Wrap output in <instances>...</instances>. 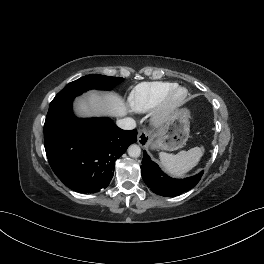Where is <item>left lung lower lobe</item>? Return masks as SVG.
I'll list each match as a JSON object with an SVG mask.
<instances>
[{
  "mask_svg": "<svg viewBox=\"0 0 264 264\" xmlns=\"http://www.w3.org/2000/svg\"><path fill=\"white\" fill-rule=\"evenodd\" d=\"M141 174L145 184L161 196L175 197L193 188L201 179L203 171L199 174L185 178L174 179L165 174L160 167L143 152Z\"/></svg>",
  "mask_w": 264,
  "mask_h": 264,
  "instance_id": "0a47b994",
  "label": "left lung lower lobe"
}]
</instances>
